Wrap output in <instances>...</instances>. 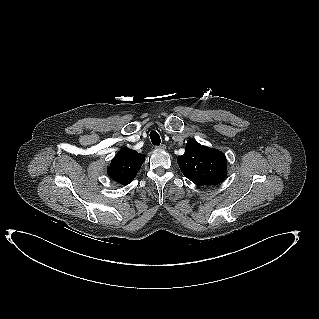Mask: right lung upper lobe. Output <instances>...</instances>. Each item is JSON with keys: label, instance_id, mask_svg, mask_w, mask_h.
I'll return each mask as SVG.
<instances>
[{"label": "right lung upper lobe", "instance_id": "right-lung-upper-lobe-1", "mask_svg": "<svg viewBox=\"0 0 319 319\" xmlns=\"http://www.w3.org/2000/svg\"><path fill=\"white\" fill-rule=\"evenodd\" d=\"M144 159L143 154H139L128 148H123L112 159L108 174L119 184L127 185L136 176Z\"/></svg>", "mask_w": 319, "mask_h": 319}]
</instances>
